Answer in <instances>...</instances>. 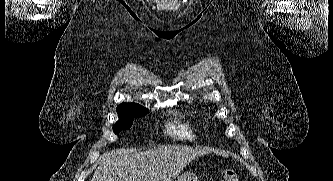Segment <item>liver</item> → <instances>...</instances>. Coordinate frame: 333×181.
<instances>
[{
    "instance_id": "1",
    "label": "liver",
    "mask_w": 333,
    "mask_h": 181,
    "mask_svg": "<svg viewBox=\"0 0 333 181\" xmlns=\"http://www.w3.org/2000/svg\"><path fill=\"white\" fill-rule=\"evenodd\" d=\"M200 147L165 145L144 152L113 150L101 156L91 181H174L195 158Z\"/></svg>"
}]
</instances>
